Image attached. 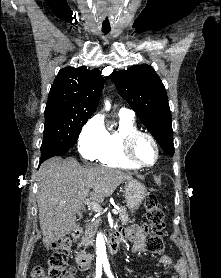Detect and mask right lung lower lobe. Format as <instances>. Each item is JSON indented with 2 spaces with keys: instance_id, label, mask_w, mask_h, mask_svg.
<instances>
[{
  "instance_id": "obj_1",
  "label": "right lung lower lobe",
  "mask_w": 221,
  "mask_h": 278,
  "mask_svg": "<svg viewBox=\"0 0 221 278\" xmlns=\"http://www.w3.org/2000/svg\"><path fill=\"white\" fill-rule=\"evenodd\" d=\"M67 151H68V150H64V151L58 152V153H56V154H53V155H50V156H47V157L40 158V163H39V165H40L42 162H44L45 160H47V159H49V158H51V157H53V156H58V155L64 154V153L67 152Z\"/></svg>"
}]
</instances>
